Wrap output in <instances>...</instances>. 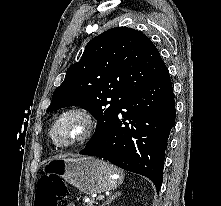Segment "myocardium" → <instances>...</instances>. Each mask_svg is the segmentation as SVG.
Masks as SVG:
<instances>
[{"mask_svg": "<svg viewBox=\"0 0 221 206\" xmlns=\"http://www.w3.org/2000/svg\"><path fill=\"white\" fill-rule=\"evenodd\" d=\"M68 120H77L80 125L79 129L68 139L58 141L55 138V131L60 124ZM93 131L94 120L91 113L83 107L75 106L60 112L54 117L48 129V137L55 147L64 149L85 143L90 139Z\"/></svg>", "mask_w": 221, "mask_h": 206, "instance_id": "1", "label": "myocardium"}]
</instances>
